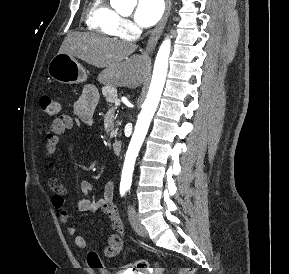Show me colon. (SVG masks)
Segmentation results:
<instances>
[{
  "label": "colon",
  "mask_w": 289,
  "mask_h": 274,
  "mask_svg": "<svg viewBox=\"0 0 289 274\" xmlns=\"http://www.w3.org/2000/svg\"><path fill=\"white\" fill-rule=\"evenodd\" d=\"M40 107L42 111L47 114L49 117H55L59 114L61 110L60 103L49 97V96H42L39 101ZM87 262L90 268L101 270L103 274H109V272L105 269V266L100 258V256L91 251L87 255ZM150 268L149 263L146 260H139L133 267L128 269L127 271H135V272H142ZM195 269L193 267H185L179 270L178 274H194Z\"/></svg>",
  "instance_id": "5ec220e1"
}]
</instances>
